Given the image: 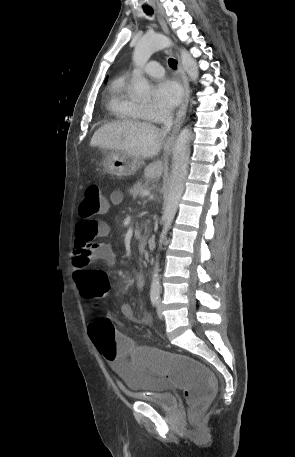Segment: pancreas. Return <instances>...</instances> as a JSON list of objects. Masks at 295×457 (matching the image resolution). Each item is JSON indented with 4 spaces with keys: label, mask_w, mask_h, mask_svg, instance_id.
<instances>
[{
    "label": "pancreas",
    "mask_w": 295,
    "mask_h": 457,
    "mask_svg": "<svg viewBox=\"0 0 295 457\" xmlns=\"http://www.w3.org/2000/svg\"><path fill=\"white\" fill-rule=\"evenodd\" d=\"M146 186L143 183H137L129 190V194L132 196L133 199L142 196V192L146 190Z\"/></svg>",
    "instance_id": "cf45deb5"
}]
</instances>
